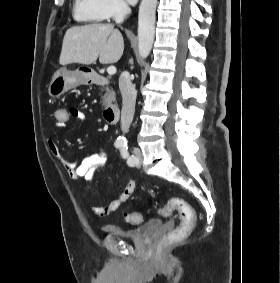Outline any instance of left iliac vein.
<instances>
[{"instance_id": "4c4485c4", "label": "left iliac vein", "mask_w": 280, "mask_h": 283, "mask_svg": "<svg viewBox=\"0 0 280 283\" xmlns=\"http://www.w3.org/2000/svg\"><path fill=\"white\" fill-rule=\"evenodd\" d=\"M136 159H137V162H136V166H140L141 165V162H142V153L139 149H134L133 151Z\"/></svg>"}]
</instances>
